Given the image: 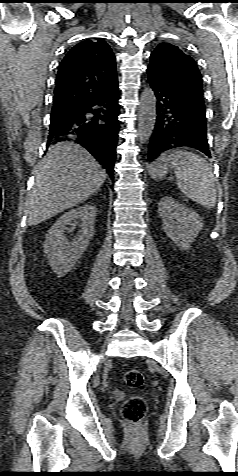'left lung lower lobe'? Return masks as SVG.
Returning a JSON list of instances; mask_svg holds the SVG:
<instances>
[{"label": "left lung lower lobe", "instance_id": "1", "mask_svg": "<svg viewBox=\"0 0 238 476\" xmlns=\"http://www.w3.org/2000/svg\"><path fill=\"white\" fill-rule=\"evenodd\" d=\"M148 82L156 98V120L148 160L152 162L169 149L185 147L211 157L204 103L177 94L149 73Z\"/></svg>", "mask_w": 238, "mask_h": 476}]
</instances>
